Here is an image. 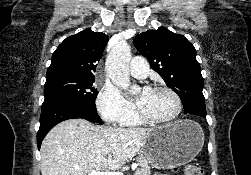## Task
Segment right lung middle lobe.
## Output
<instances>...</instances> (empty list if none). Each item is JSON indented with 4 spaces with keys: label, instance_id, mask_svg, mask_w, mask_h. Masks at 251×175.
I'll return each instance as SVG.
<instances>
[{
    "label": "right lung middle lobe",
    "instance_id": "1",
    "mask_svg": "<svg viewBox=\"0 0 251 175\" xmlns=\"http://www.w3.org/2000/svg\"><path fill=\"white\" fill-rule=\"evenodd\" d=\"M94 78L54 76L46 77L44 97H65L83 103H94L98 91L92 86Z\"/></svg>",
    "mask_w": 251,
    "mask_h": 175
}]
</instances>
